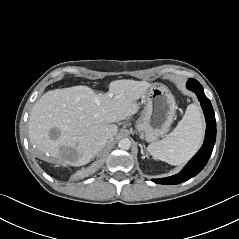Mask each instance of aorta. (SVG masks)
Instances as JSON below:
<instances>
[{"mask_svg":"<svg viewBox=\"0 0 239 239\" xmlns=\"http://www.w3.org/2000/svg\"><path fill=\"white\" fill-rule=\"evenodd\" d=\"M131 146V142L128 138H123L118 142V147L122 150H128Z\"/></svg>","mask_w":239,"mask_h":239,"instance_id":"1","label":"aorta"}]
</instances>
